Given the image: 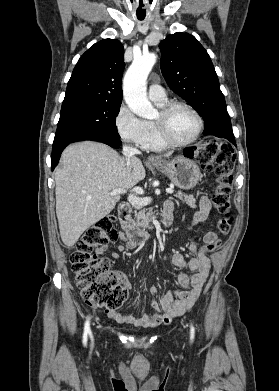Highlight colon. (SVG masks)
I'll use <instances>...</instances> for the list:
<instances>
[{
	"mask_svg": "<svg viewBox=\"0 0 279 391\" xmlns=\"http://www.w3.org/2000/svg\"><path fill=\"white\" fill-rule=\"evenodd\" d=\"M192 158L206 171H215L218 186L213 195L215 210L222 216L217 228L223 235L229 233L233 217L229 214L230 182L234 167L232 148L216 139H207L191 151ZM116 217L107 215L85 230L76 242L70 256L71 268L76 275V285L83 298L91 305L114 311L122 306L127 297L125 288L117 275L110 269L109 260L99 257L94 250L113 243L118 234L115 229ZM221 244L219 239L207 244V251H213Z\"/></svg>",
	"mask_w": 279,
	"mask_h": 391,
	"instance_id": "colon-1",
	"label": "colon"
}]
</instances>
